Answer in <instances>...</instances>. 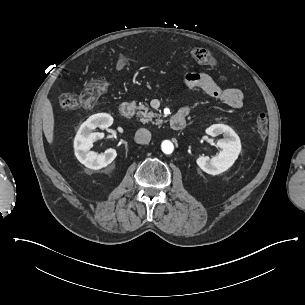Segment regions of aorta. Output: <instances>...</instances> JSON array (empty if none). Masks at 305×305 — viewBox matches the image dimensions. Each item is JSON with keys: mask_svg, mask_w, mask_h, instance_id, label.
<instances>
[{"mask_svg": "<svg viewBox=\"0 0 305 305\" xmlns=\"http://www.w3.org/2000/svg\"><path fill=\"white\" fill-rule=\"evenodd\" d=\"M161 149L163 151V153L165 154H171L174 150V145L171 141L169 140H164L162 143H161Z\"/></svg>", "mask_w": 305, "mask_h": 305, "instance_id": "762f6f07", "label": "aorta"}]
</instances>
